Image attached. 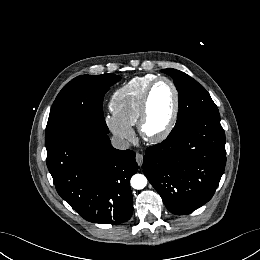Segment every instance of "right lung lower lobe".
Here are the masks:
<instances>
[{
  "label": "right lung lower lobe",
  "mask_w": 260,
  "mask_h": 260,
  "mask_svg": "<svg viewBox=\"0 0 260 260\" xmlns=\"http://www.w3.org/2000/svg\"><path fill=\"white\" fill-rule=\"evenodd\" d=\"M135 152L111 146L107 134L81 130L47 155L59 195L85 220L116 224L130 219V178L137 172Z\"/></svg>",
  "instance_id": "1"
}]
</instances>
